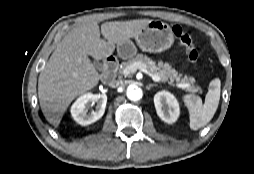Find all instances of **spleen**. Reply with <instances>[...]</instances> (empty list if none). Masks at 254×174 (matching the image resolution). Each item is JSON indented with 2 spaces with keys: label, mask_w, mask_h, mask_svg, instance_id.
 <instances>
[{
  "label": "spleen",
  "mask_w": 254,
  "mask_h": 174,
  "mask_svg": "<svg viewBox=\"0 0 254 174\" xmlns=\"http://www.w3.org/2000/svg\"><path fill=\"white\" fill-rule=\"evenodd\" d=\"M220 87L219 79H214L210 82L204 104L198 96L191 94L183 96L184 104L189 111L190 128L192 130L204 127L213 118L220 100Z\"/></svg>",
  "instance_id": "3e777b00"
}]
</instances>
